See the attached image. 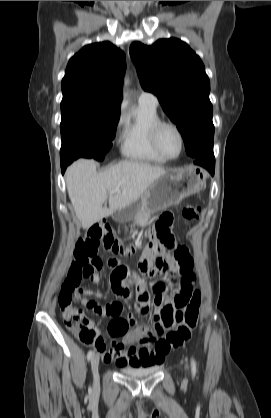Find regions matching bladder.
Wrapping results in <instances>:
<instances>
[{"label":"bladder","instance_id":"obj_1","mask_svg":"<svg viewBox=\"0 0 271 418\" xmlns=\"http://www.w3.org/2000/svg\"><path fill=\"white\" fill-rule=\"evenodd\" d=\"M159 369H160L159 365H153V366H145V367L122 368L121 372L131 377L143 378V377L156 373Z\"/></svg>","mask_w":271,"mask_h":418}]
</instances>
